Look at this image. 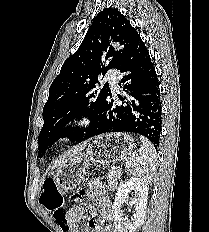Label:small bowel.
<instances>
[{"mask_svg":"<svg viewBox=\"0 0 209 232\" xmlns=\"http://www.w3.org/2000/svg\"><path fill=\"white\" fill-rule=\"evenodd\" d=\"M88 185H77V190L71 191V199L74 205H83L86 199ZM88 196L95 202L98 209L99 220L90 218L88 228L80 229L78 222L84 217V211L81 206H74L65 213L67 226L63 227L64 232H118L116 227L111 223V197L101 181L95 179L89 184Z\"/></svg>","mask_w":209,"mask_h":232,"instance_id":"small-bowel-1","label":"small bowel"}]
</instances>
